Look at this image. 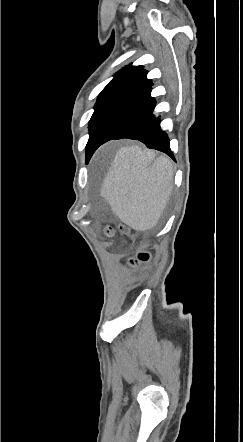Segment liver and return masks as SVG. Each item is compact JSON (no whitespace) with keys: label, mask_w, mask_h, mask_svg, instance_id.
Masks as SVG:
<instances>
[{"label":"liver","mask_w":243,"mask_h":442,"mask_svg":"<svg viewBox=\"0 0 243 442\" xmlns=\"http://www.w3.org/2000/svg\"><path fill=\"white\" fill-rule=\"evenodd\" d=\"M173 165L139 145L121 147L103 181L101 196L114 214L136 231L153 229L173 190Z\"/></svg>","instance_id":"liver-1"}]
</instances>
